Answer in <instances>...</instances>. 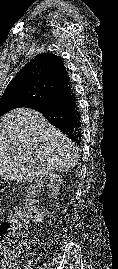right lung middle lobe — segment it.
I'll list each match as a JSON object with an SVG mask.
<instances>
[{
	"label": "right lung middle lobe",
	"mask_w": 118,
	"mask_h": 269,
	"mask_svg": "<svg viewBox=\"0 0 118 269\" xmlns=\"http://www.w3.org/2000/svg\"><path fill=\"white\" fill-rule=\"evenodd\" d=\"M32 99V96L26 94L13 93L2 95L0 98V117L12 109L27 107Z\"/></svg>",
	"instance_id": "obj_1"
}]
</instances>
